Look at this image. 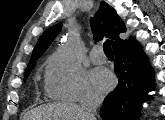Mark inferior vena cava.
<instances>
[{
	"label": "inferior vena cava",
	"instance_id": "1",
	"mask_svg": "<svg viewBox=\"0 0 165 120\" xmlns=\"http://www.w3.org/2000/svg\"><path fill=\"white\" fill-rule=\"evenodd\" d=\"M103 99V95L97 92H89L82 102L81 120H96L95 113Z\"/></svg>",
	"mask_w": 165,
	"mask_h": 120
}]
</instances>
